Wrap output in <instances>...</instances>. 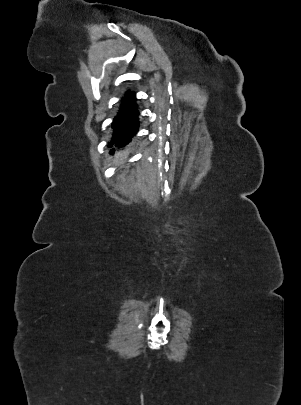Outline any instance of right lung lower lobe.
Masks as SVG:
<instances>
[{
    "mask_svg": "<svg viewBox=\"0 0 301 405\" xmlns=\"http://www.w3.org/2000/svg\"><path fill=\"white\" fill-rule=\"evenodd\" d=\"M139 111L135 92H126L121 100L119 111L111 124L112 137L108 147L128 145L139 130ZM114 151V148L112 149Z\"/></svg>",
    "mask_w": 301,
    "mask_h": 405,
    "instance_id": "98d812e1",
    "label": "right lung lower lobe"
}]
</instances>
